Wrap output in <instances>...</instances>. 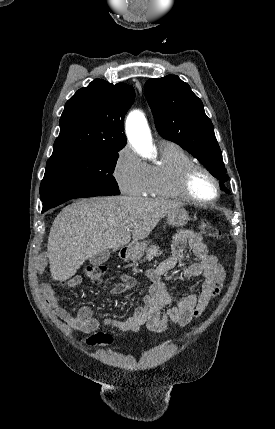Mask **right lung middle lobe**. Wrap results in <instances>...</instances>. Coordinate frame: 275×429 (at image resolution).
<instances>
[{
    "instance_id": "dd1d6c3e",
    "label": "right lung middle lobe",
    "mask_w": 275,
    "mask_h": 429,
    "mask_svg": "<svg viewBox=\"0 0 275 429\" xmlns=\"http://www.w3.org/2000/svg\"><path fill=\"white\" fill-rule=\"evenodd\" d=\"M116 150H66L53 152L46 163L40 185L41 200L68 193L120 194L113 176L118 159Z\"/></svg>"
}]
</instances>
